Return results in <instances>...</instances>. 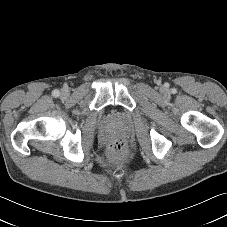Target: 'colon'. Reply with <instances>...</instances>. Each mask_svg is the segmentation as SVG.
Masks as SVG:
<instances>
[{"label":"colon","mask_w":227,"mask_h":227,"mask_svg":"<svg viewBox=\"0 0 227 227\" xmlns=\"http://www.w3.org/2000/svg\"><path fill=\"white\" fill-rule=\"evenodd\" d=\"M110 159L114 163L122 161L126 155V144L122 139L112 141L108 148Z\"/></svg>","instance_id":"obj_1"}]
</instances>
